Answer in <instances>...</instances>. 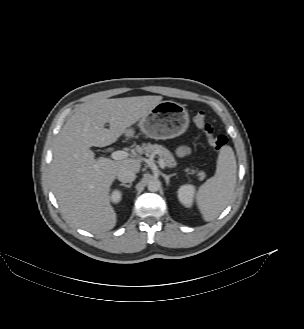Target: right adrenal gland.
<instances>
[{
  "label": "right adrenal gland",
  "instance_id": "1",
  "mask_svg": "<svg viewBox=\"0 0 304 329\" xmlns=\"http://www.w3.org/2000/svg\"><path fill=\"white\" fill-rule=\"evenodd\" d=\"M120 186L130 188L132 186V183H130V184L121 183Z\"/></svg>",
  "mask_w": 304,
  "mask_h": 329
}]
</instances>
